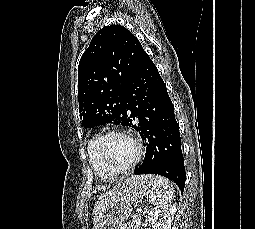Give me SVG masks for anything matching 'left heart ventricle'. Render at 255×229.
Listing matches in <instances>:
<instances>
[{"label":"left heart ventricle","instance_id":"obj_1","mask_svg":"<svg viewBox=\"0 0 255 229\" xmlns=\"http://www.w3.org/2000/svg\"><path fill=\"white\" fill-rule=\"evenodd\" d=\"M104 159L113 166L130 163L136 154L134 143L123 136H111L101 146Z\"/></svg>","mask_w":255,"mask_h":229}]
</instances>
